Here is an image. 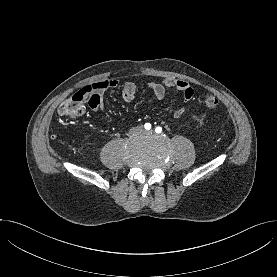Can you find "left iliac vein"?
Segmentation results:
<instances>
[{
  "label": "left iliac vein",
  "instance_id": "left-iliac-vein-1",
  "mask_svg": "<svg viewBox=\"0 0 277 277\" xmlns=\"http://www.w3.org/2000/svg\"><path fill=\"white\" fill-rule=\"evenodd\" d=\"M144 135L151 136L153 134V131H145L143 132Z\"/></svg>",
  "mask_w": 277,
  "mask_h": 277
}]
</instances>
